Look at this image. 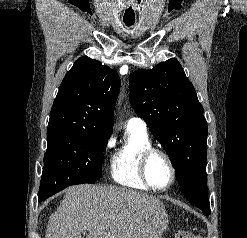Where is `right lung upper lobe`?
Here are the masks:
<instances>
[{"mask_svg": "<svg viewBox=\"0 0 247 238\" xmlns=\"http://www.w3.org/2000/svg\"><path fill=\"white\" fill-rule=\"evenodd\" d=\"M117 72L83 56L66 73L54 100L47 135L91 129L111 135L120 89Z\"/></svg>", "mask_w": 247, "mask_h": 238, "instance_id": "right-lung-upper-lobe-1", "label": "right lung upper lobe"}]
</instances>
